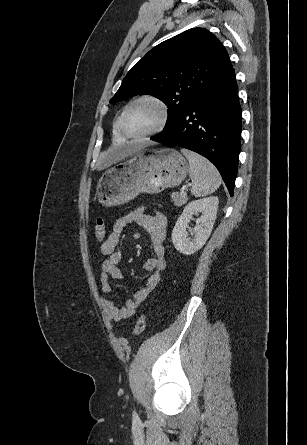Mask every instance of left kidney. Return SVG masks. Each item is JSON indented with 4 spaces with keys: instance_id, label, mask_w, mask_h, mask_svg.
<instances>
[{
    "instance_id": "left-kidney-1",
    "label": "left kidney",
    "mask_w": 307,
    "mask_h": 445,
    "mask_svg": "<svg viewBox=\"0 0 307 445\" xmlns=\"http://www.w3.org/2000/svg\"><path fill=\"white\" fill-rule=\"evenodd\" d=\"M218 202V196H207V198L191 200V202L186 204L172 231V243L179 253H183V255H193V253L202 249L211 235L217 214ZM198 212H202L200 218L196 220V223H199V225H197L193 231V239H190L186 229H188L190 218H193V214H198Z\"/></svg>"
}]
</instances>
